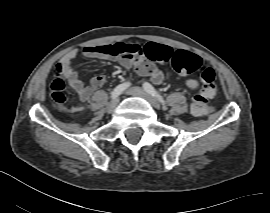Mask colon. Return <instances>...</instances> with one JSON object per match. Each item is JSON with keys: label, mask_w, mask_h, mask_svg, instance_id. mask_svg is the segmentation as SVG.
<instances>
[{"label": "colon", "mask_w": 270, "mask_h": 213, "mask_svg": "<svg viewBox=\"0 0 270 213\" xmlns=\"http://www.w3.org/2000/svg\"><path fill=\"white\" fill-rule=\"evenodd\" d=\"M110 49L116 55L123 56H138L144 52L143 47L138 44H128L118 42L110 45ZM166 63H171L175 72L184 76L192 72H198L201 80L202 87L200 91L193 97L191 103V112L195 116H203L211 110V98L216 93L215 73L212 68L203 64L198 55L186 51H176L171 60ZM52 100L61 105L64 110V89L59 81H54L51 85ZM82 108V106H81Z\"/></svg>", "instance_id": "colon-1"}]
</instances>
